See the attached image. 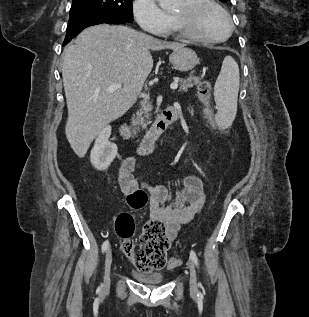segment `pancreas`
<instances>
[{
    "label": "pancreas",
    "mask_w": 309,
    "mask_h": 317,
    "mask_svg": "<svg viewBox=\"0 0 309 317\" xmlns=\"http://www.w3.org/2000/svg\"><path fill=\"white\" fill-rule=\"evenodd\" d=\"M179 91H187L188 88L198 85L201 81L200 77L190 75L187 78H179ZM151 111V102L144 101L141 103V108L136 112V117L133 119L132 125L136 130L144 129L149 119V112Z\"/></svg>",
    "instance_id": "pancreas-1"
}]
</instances>
